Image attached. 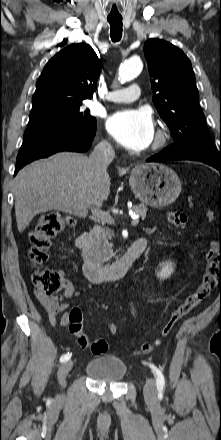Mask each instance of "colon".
<instances>
[{"label": "colon", "instance_id": "1", "mask_svg": "<svg viewBox=\"0 0 221 440\" xmlns=\"http://www.w3.org/2000/svg\"><path fill=\"white\" fill-rule=\"evenodd\" d=\"M208 221L215 220L213 212L207 213ZM168 221L176 227H184L188 217L184 212L171 211L168 214ZM74 224V219L59 213H48L39 221L38 225L29 234L30 248L28 257L30 263L35 267H41L49 258V249L52 239L60 232ZM206 268L203 279L199 286L188 295L184 301L171 313L162 326L160 338L152 342L142 343L138 346L137 352L148 354L155 350L166 338L175 325L187 316L195 307L204 302L221 278V240L211 239L206 252ZM64 278L54 270H38L33 276V284L36 290L47 298L56 297L64 288ZM107 327L113 335L120 330L116 320H107ZM69 331L77 338L82 348H89L95 355L104 354L108 350V343L104 339L89 340L83 331V314L80 308H72L69 312Z\"/></svg>", "mask_w": 221, "mask_h": 440}]
</instances>
